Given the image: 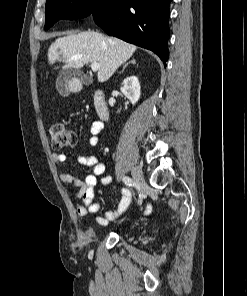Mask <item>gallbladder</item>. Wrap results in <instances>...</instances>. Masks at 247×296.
<instances>
[{
  "mask_svg": "<svg viewBox=\"0 0 247 296\" xmlns=\"http://www.w3.org/2000/svg\"><path fill=\"white\" fill-rule=\"evenodd\" d=\"M80 79L84 85H89L92 82V78L86 75H80ZM71 80L72 74L70 69H64L60 72L57 78L56 87L60 95L63 97H67L71 92Z\"/></svg>",
  "mask_w": 247,
  "mask_h": 296,
  "instance_id": "gallbladder-1",
  "label": "gallbladder"
}]
</instances>
